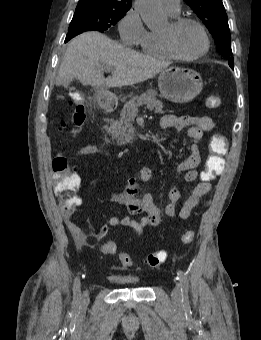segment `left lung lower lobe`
Wrapping results in <instances>:
<instances>
[{"mask_svg": "<svg viewBox=\"0 0 261 340\" xmlns=\"http://www.w3.org/2000/svg\"><path fill=\"white\" fill-rule=\"evenodd\" d=\"M229 66H230L232 69H234V64H229Z\"/></svg>", "mask_w": 261, "mask_h": 340, "instance_id": "obj_1", "label": "left lung lower lobe"}]
</instances>
